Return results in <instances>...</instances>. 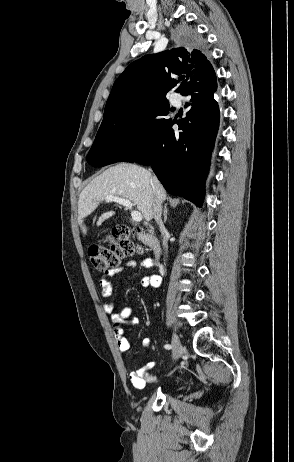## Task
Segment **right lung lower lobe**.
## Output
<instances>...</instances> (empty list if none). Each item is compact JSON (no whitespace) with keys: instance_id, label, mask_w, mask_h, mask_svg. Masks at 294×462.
<instances>
[{"instance_id":"98d812e1","label":"right lung lower lobe","mask_w":294,"mask_h":462,"mask_svg":"<svg viewBox=\"0 0 294 462\" xmlns=\"http://www.w3.org/2000/svg\"><path fill=\"white\" fill-rule=\"evenodd\" d=\"M216 75L199 82L182 95H190L186 117L178 121L180 132H174L171 119L139 148L123 159L151 165L165 189L202 205L204 183L210 155L219 126V108L215 100ZM92 166L96 164L90 163Z\"/></svg>"}]
</instances>
